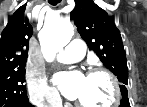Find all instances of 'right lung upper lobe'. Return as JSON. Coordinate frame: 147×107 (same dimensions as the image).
I'll return each mask as SVG.
<instances>
[{
  "instance_id": "right-lung-upper-lobe-1",
  "label": "right lung upper lobe",
  "mask_w": 147,
  "mask_h": 107,
  "mask_svg": "<svg viewBox=\"0 0 147 107\" xmlns=\"http://www.w3.org/2000/svg\"><path fill=\"white\" fill-rule=\"evenodd\" d=\"M26 4L19 7L8 19V24L1 34L0 74L18 70L26 66L29 40L32 26L24 16Z\"/></svg>"
}]
</instances>
